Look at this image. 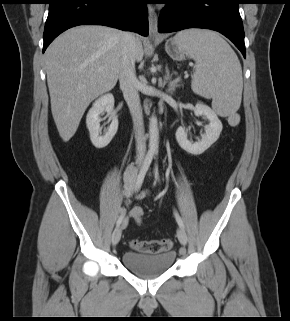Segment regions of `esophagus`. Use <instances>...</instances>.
Returning a JSON list of instances; mask_svg holds the SVG:
<instances>
[{
    "mask_svg": "<svg viewBox=\"0 0 290 321\" xmlns=\"http://www.w3.org/2000/svg\"><path fill=\"white\" fill-rule=\"evenodd\" d=\"M148 21H149V39H157L158 33V15L152 6H148Z\"/></svg>",
    "mask_w": 290,
    "mask_h": 321,
    "instance_id": "1",
    "label": "esophagus"
}]
</instances>
